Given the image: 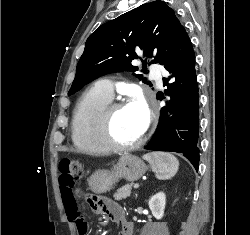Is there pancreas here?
I'll return each instance as SVG.
<instances>
[{
	"label": "pancreas",
	"instance_id": "obj_1",
	"mask_svg": "<svg viewBox=\"0 0 250 235\" xmlns=\"http://www.w3.org/2000/svg\"><path fill=\"white\" fill-rule=\"evenodd\" d=\"M132 189V184H127L117 190V192L113 195L114 199L119 201L122 199H126L130 196Z\"/></svg>",
	"mask_w": 250,
	"mask_h": 235
}]
</instances>
